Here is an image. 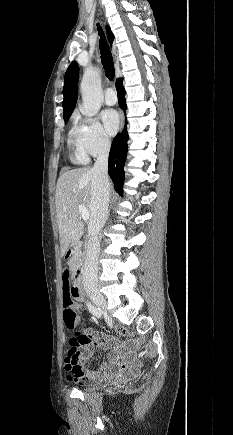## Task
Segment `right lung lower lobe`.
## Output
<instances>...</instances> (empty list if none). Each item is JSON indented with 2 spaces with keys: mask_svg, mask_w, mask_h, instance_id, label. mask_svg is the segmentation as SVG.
<instances>
[{
  "mask_svg": "<svg viewBox=\"0 0 233 435\" xmlns=\"http://www.w3.org/2000/svg\"><path fill=\"white\" fill-rule=\"evenodd\" d=\"M116 89L118 92V101L120 107L126 113V101H125V90L122 85V79L116 81ZM127 119L125 118V128L118 134L113 142L109 153V167L108 174L111 177L115 191L122 195L123 193V182H124V164L127 156Z\"/></svg>",
  "mask_w": 233,
  "mask_h": 435,
  "instance_id": "1",
  "label": "right lung lower lobe"
}]
</instances>
